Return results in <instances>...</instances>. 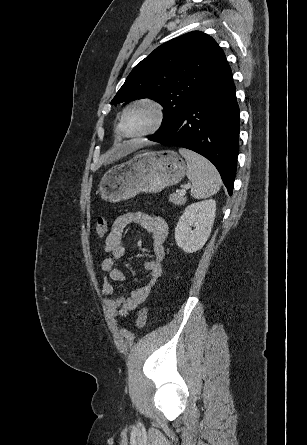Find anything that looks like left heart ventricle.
<instances>
[{
	"label": "left heart ventricle",
	"mask_w": 307,
	"mask_h": 445,
	"mask_svg": "<svg viewBox=\"0 0 307 445\" xmlns=\"http://www.w3.org/2000/svg\"><path fill=\"white\" fill-rule=\"evenodd\" d=\"M156 121V112L146 104L131 107L125 117V129L129 134L138 133L151 128Z\"/></svg>",
	"instance_id": "obj_1"
}]
</instances>
